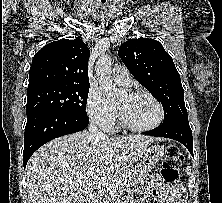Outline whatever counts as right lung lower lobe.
Instances as JSON below:
<instances>
[{
	"instance_id": "right-lung-lower-lobe-1",
	"label": "right lung lower lobe",
	"mask_w": 222,
	"mask_h": 203,
	"mask_svg": "<svg viewBox=\"0 0 222 203\" xmlns=\"http://www.w3.org/2000/svg\"><path fill=\"white\" fill-rule=\"evenodd\" d=\"M88 123L87 114L40 111L27 116L23 150L24 168L39 147L54 138L81 131Z\"/></svg>"
}]
</instances>
